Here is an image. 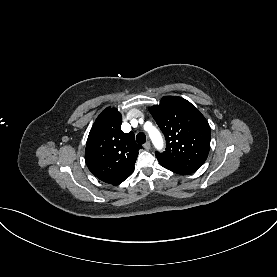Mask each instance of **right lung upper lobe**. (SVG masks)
Listing matches in <instances>:
<instances>
[{"label": "right lung upper lobe", "mask_w": 277, "mask_h": 277, "mask_svg": "<svg viewBox=\"0 0 277 277\" xmlns=\"http://www.w3.org/2000/svg\"><path fill=\"white\" fill-rule=\"evenodd\" d=\"M122 117L115 108H106L93 124L86 143L85 161L98 179L118 185L134 171L141 145L134 133L121 130Z\"/></svg>", "instance_id": "obj_1"}]
</instances>
